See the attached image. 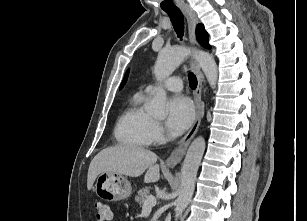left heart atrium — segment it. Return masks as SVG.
I'll return each mask as SVG.
<instances>
[{
  "instance_id": "left-heart-atrium-1",
  "label": "left heart atrium",
  "mask_w": 307,
  "mask_h": 221,
  "mask_svg": "<svg viewBox=\"0 0 307 221\" xmlns=\"http://www.w3.org/2000/svg\"><path fill=\"white\" fill-rule=\"evenodd\" d=\"M193 119V106L187 98L176 96L169 101L166 127L171 135L182 134L191 125Z\"/></svg>"
}]
</instances>
